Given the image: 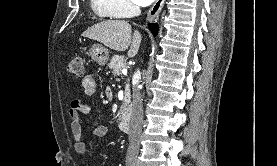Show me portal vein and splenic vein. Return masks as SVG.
<instances>
[{
  "mask_svg": "<svg viewBox=\"0 0 277 166\" xmlns=\"http://www.w3.org/2000/svg\"><path fill=\"white\" fill-rule=\"evenodd\" d=\"M122 73H123V74H126V73H127V70H126V69H123V70H122Z\"/></svg>",
  "mask_w": 277,
  "mask_h": 166,
  "instance_id": "18ae733b",
  "label": "portal vein and splenic vein"
}]
</instances>
